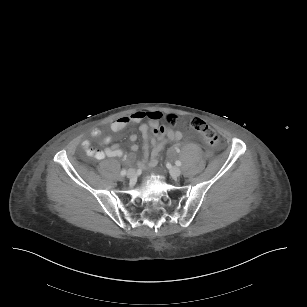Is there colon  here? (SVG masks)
Listing matches in <instances>:
<instances>
[{
	"instance_id": "obj_1",
	"label": "colon",
	"mask_w": 307,
	"mask_h": 307,
	"mask_svg": "<svg viewBox=\"0 0 307 307\" xmlns=\"http://www.w3.org/2000/svg\"><path fill=\"white\" fill-rule=\"evenodd\" d=\"M166 120L170 124H174L176 122L172 116H167ZM187 128H190L194 130L195 132L201 134L204 137L205 142L209 146L215 147L218 145L219 143L218 134L211 127H209L206 124V122L203 121L202 119L200 118L191 119L187 124ZM168 130H169L168 125L162 124V125L153 127L152 132L155 135H159V134L168 132Z\"/></svg>"
}]
</instances>
